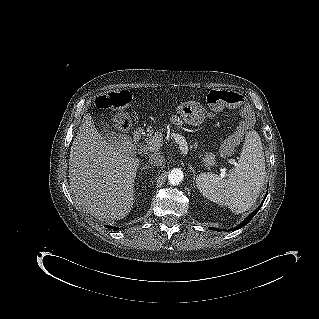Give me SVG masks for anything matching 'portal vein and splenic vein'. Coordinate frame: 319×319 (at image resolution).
<instances>
[{
	"label": "portal vein and splenic vein",
	"mask_w": 319,
	"mask_h": 319,
	"mask_svg": "<svg viewBox=\"0 0 319 319\" xmlns=\"http://www.w3.org/2000/svg\"><path fill=\"white\" fill-rule=\"evenodd\" d=\"M171 138L174 139L178 144H179V148L182 151V153L184 155L188 154V145L186 140L184 139L183 136L176 134V133H172L171 134ZM161 141V138L159 137V135H156L155 138L150 142V150H155L156 146L158 145V143ZM231 164H235V160L234 159H230L229 160ZM222 174H225V171L222 170Z\"/></svg>",
	"instance_id": "obj_1"
}]
</instances>
